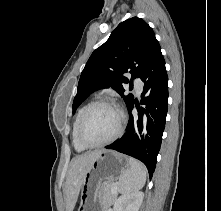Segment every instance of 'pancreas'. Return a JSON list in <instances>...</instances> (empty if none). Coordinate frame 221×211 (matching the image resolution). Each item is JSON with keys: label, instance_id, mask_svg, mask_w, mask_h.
<instances>
[{"label": "pancreas", "instance_id": "1", "mask_svg": "<svg viewBox=\"0 0 221 211\" xmlns=\"http://www.w3.org/2000/svg\"><path fill=\"white\" fill-rule=\"evenodd\" d=\"M116 184L114 182H110L104 185L102 192H101V204L104 208L110 206L117 196V191L113 192L112 189Z\"/></svg>", "mask_w": 221, "mask_h": 211}]
</instances>
